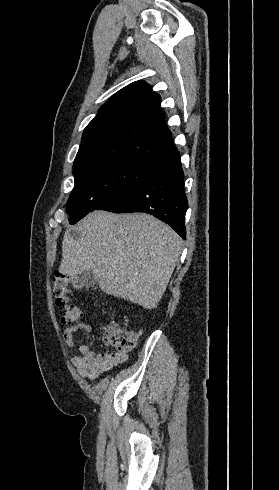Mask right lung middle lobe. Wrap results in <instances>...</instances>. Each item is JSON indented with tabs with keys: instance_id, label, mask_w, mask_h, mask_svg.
<instances>
[{
	"instance_id": "right-lung-middle-lobe-1",
	"label": "right lung middle lobe",
	"mask_w": 279,
	"mask_h": 490,
	"mask_svg": "<svg viewBox=\"0 0 279 490\" xmlns=\"http://www.w3.org/2000/svg\"><path fill=\"white\" fill-rule=\"evenodd\" d=\"M154 167L155 163L108 159L75 169V184L67 202L70 224L96 209L110 194L145 177Z\"/></svg>"
}]
</instances>
